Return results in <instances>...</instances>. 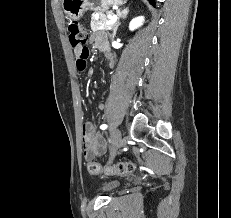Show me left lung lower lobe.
<instances>
[{"mask_svg":"<svg viewBox=\"0 0 231 218\" xmlns=\"http://www.w3.org/2000/svg\"><path fill=\"white\" fill-rule=\"evenodd\" d=\"M151 4L154 5V0H148Z\"/></svg>","mask_w":231,"mask_h":218,"instance_id":"1","label":"left lung lower lobe"}]
</instances>
